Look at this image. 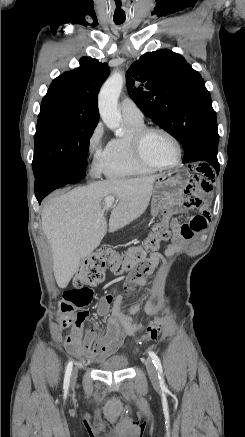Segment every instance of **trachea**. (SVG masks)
<instances>
[{
    "instance_id": "trachea-1",
    "label": "trachea",
    "mask_w": 245,
    "mask_h": 437,
    "mask_svg": "<svg viewBox=\"0 0 245 437\" xmlns=\"http://www.w3.org/2000/svg\"><path fill=\"white\" fill-rule=\"evenodd\" d=\"M124 21H115L116 24H122Z\"/></svg>"
}]
</instances>
